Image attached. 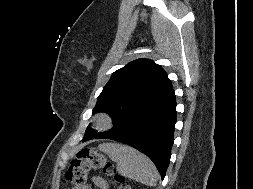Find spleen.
<instances>
[{
    "instance_id": "obj_1",
    "label": "spleen",
    "mask_w": 253,
    "mask_h": 189,
    "mask_svg": "<svg viewBox=\"0 0 253 189\" xmlns=\"http://www.w3.org/2000/svg\"><path fill=\"white\" fill-rule=\"evenodd\" d=\"M99 150L116 162L117 171L121 175L149 186L157 184L159 175L155 165L138 150L118 143L100 144Z\"/></svg>"
}]
</instances>
